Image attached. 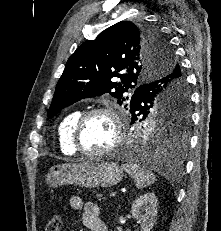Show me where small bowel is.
Masks as SVG:
<instances>
[{"mask_svg":"<svg viewBox=\"0 0 221 231\" xmlns=\"http://www.w3.org/2000/svg\"><path fill=\"white\" fill-rule=\"evenodd\" d=\"M73 211L83 209V224L89 231H108L105 221L100 217V210L93 202H84L79 196H73L69 200Z\"/></svg>","mask_w":221,"mask_h":231,"instance_id":"obj_1","label":"small bowel"}]
</instances>
